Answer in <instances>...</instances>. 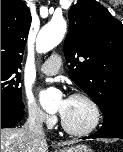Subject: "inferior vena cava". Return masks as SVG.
<instances>
[{"label":"inferior vena cava","mask_w":123,"mask_h":152,"mask_svg":"<svg viewBox=\"0 0 123 152\" xmlns=\"http://www.w3.org/2000/svg\"><path fill=\"white\" fill-rule=\"evenodd\" d=\"M24 129L36 136L44 138L45 133L43 131V114L41 112L30 113L24 125Z\"/></svg>","instance_id":"inferior-vena-cava-1"}]
</instances>
